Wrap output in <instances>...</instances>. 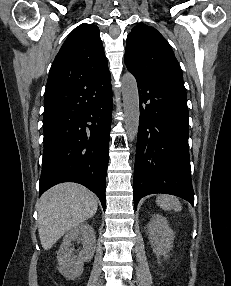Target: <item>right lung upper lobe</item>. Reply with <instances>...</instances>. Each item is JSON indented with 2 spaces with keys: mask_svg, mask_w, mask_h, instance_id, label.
I'll list each match as a JSON object with an SVG mask.
<instances>
[{
  "mask_svg": "<svg viewBox=\"0 0 231 286\" xmlns=\"http://www.w3.org/2000/svg\"><path fill=\"white\" fill-rule=\"evenodd\" d=\"M109 74L99 28L81 24L68 36L51 66L44 96L45 111L66 99L81 83Z\"/></svg>",
  "mask_w": 231,
  "mask_h": 286,
  "instance_id": "1",
  "label": "right lung upper lobe"
}]
</instances>
